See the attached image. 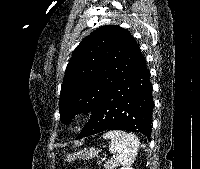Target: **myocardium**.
Instances as JSON below:
<instances>
[{
    "label": "myocardium",
    "instance_id": "myocardium-1",
    "mask_svg": "<svg viewBox=\"0 0 200 169\" xmlns=\"http://www.w3.org/2000/svg\"><path fill=\"white\" fill-rule=\"evenodd\" d=\"M84 117H85V116H84V114H82V113L77 115V118H78L79 120H83Z\"/></svg>",
    "mask_w": 200,
    "mask_h": 169
}]
</instances>
